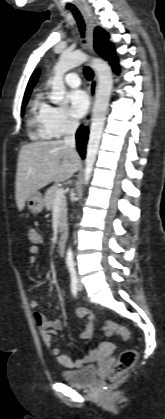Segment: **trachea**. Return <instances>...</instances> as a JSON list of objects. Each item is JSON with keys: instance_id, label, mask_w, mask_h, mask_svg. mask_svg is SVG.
Wrapping results in <instances>:
<instances>
[{"instance_id": "trachea-1", "label": "trachea", "mask_w": 165, "mask_h": 419, "mask_svg": "<svg viewBox=\"0 0 165 419\" xmlns=\"http://www.w3.org/2000/svg\"><path fill=\"white\" fill-rule=\"evenodd\" d=\"M67 9H69L73 13V15H74V17H75V19L78 23V27H79V30L82 34V37H84L85 25H84V21H83V18L81 16L79 10L75 6H67ZM84 75H85L87 80H92V78L94 76L93 71L91 70L90 67H85L84 68Z\"/></svg>"}]
</instances>
